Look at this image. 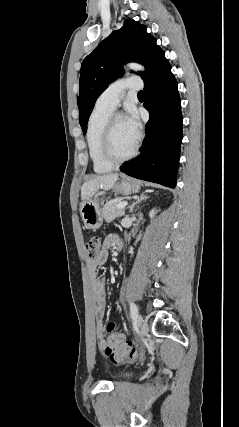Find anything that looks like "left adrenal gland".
<instances>
[{"instance_id":"a2214340","label":"left adrenal gland","mask_w":239,"mask_h":427,"mask_svg":"<svg viewBox=\"0 0 239 427\" xmlns=\"http://www.w3.org/2000/svg\"><path fill=\"white\" fill-rule=\"evenodd\" d=\"M148 196L145 195V193H141L140 196L129 206V212H133L134 207L137 204H140L142 201L146 200Z\"/></svg>"}]
</instances>
